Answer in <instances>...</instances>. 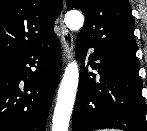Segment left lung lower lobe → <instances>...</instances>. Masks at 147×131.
I'll return each mask as SVG.
<instances>
[{"label":"left lung lower lobe","mask_w":147,"mask_h":131,"mask_svg":"<svg viewBox=\"0 0 147 131\" xmlns=\"http://www.w3.org/2000/svg\"><path fill=\"white\" fill-rule=\"evenodd\" d=\"M90 46L77 39L76 57L80 60V80L74 113L73 131H93L115 128L124 131H147L146 104L142 96V81L139 69L104 54L96 49L89 59L95 74L88 73L84 62Z\"/></svg>","instance_id":"1"}]
</instances>
